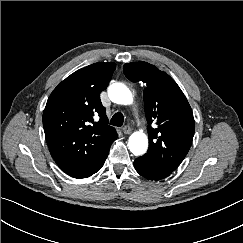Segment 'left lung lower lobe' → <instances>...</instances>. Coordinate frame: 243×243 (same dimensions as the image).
<instances>
[{"mask_svg": "<svg viewBox=\"0 0 243 243\" xmlns=\"http://www.w3.org/2000/svg\"><path fill=\"white\" fill-rule=\"evenodd\" d=\"M134 167L141 176L150 180H161L168 177L172 173L153 163L146 162L141 158H137L134 161Z\"/></svg>", "mask_w": 243, "mask_h": 243, "instance_id": "left-lung-lower-lobe-1", "label": "left lung lower lobe"}]
</instances>
